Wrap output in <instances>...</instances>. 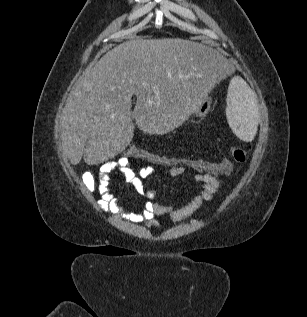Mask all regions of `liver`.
Listing matches in <instances>:
<instances>
[{
    "mask_svg": "<svg viewBox=\"0 0 307 317\" xmlns=\"http://www.w3.org/2000/svg\"><path fill=\"white\" fill-rule=\"evenodd\" d=\"M227 63L221 51L192 39L137 38L116 46L83 74L65 104L64 154L72 165L82 157L89 165L113 158L133 138L132 119L150 135L174 130L200 97L223 84Z\"/></svg>",
    "mask_w": 307,
    "mask_h": 317,
    "instance_id": "liver-1",
    "label": "liver"
}]
</instances>
